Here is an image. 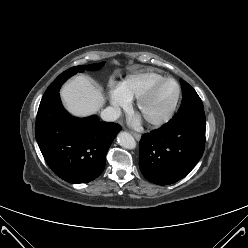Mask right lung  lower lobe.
Instances as JSON below:
<instances>
[{"label":"right lung lower lobe","mask_w":248,"mask_h":248,"mask_svg":"<svg viewBox=\"0 0 248 248\" xmlns=\"http://www.w3.org/2000/svg\"><path fill=\"white\" fill-rule=\"evenodd\" d=\"M121 130L97 116L76 118L63 108L59 94L40 103L35 136L52 171L70 183H87L105 167L106 153Z\"/></svg>","instance_id":"1"}]
</instances>
